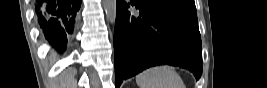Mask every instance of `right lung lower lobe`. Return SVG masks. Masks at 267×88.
<instances>
[{"mask_svg": "<svg viewBox=\"0 0 267 88\" xmlns=\"http://www.w3.org/2000/svg\"><path fill=\"white\" fill-rule=\"evenodd\" d=\"M82 0H36L35 13L47 41L59 52L66 48Z\"/></svg>", "mask_w": 267, "mask_h": 88, "instance_id": "right-lung-lower-lobe-1", "label": "right lung lower lobe"}]
</instances>
